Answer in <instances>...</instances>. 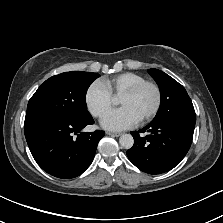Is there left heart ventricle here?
Instances as JSON below:
<instances>
[{
    "instance_id": "left-heart-ventricle-1",
    "label": "left heart ventricle",
    "mask_w": 223,
    "mask_h": 223,
    "mask_svg": "<svg viewBox=\"0 0 223 223\" xmlns=\"http://www.w3.org/2000/svg\"><path fill=\"white\" fill-rule=\"evenodd\" d=\"M154 101L155 95L150 87H144L132 97H120L118 99V103L122 107H128L138 119L150 112Z\"/></svg>"
}]
</instances>
